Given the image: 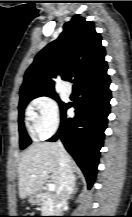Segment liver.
Wrapping results in <instances>:
<instances>
[{
  "instance_id": "obj_1",
  "label": "liver",
  "mask_w": 132,
  "mask_h": 217,
  "mask_svg": "<svg viewBox=\"0 0 132 217\" xmlns=\"http://www.w3.org/2000/svg\"><path fill=\"white\" fill-rule=\"evenodd\" d=\"M58 151V143L43 142L31 145L22 154L18 163V185L21 199L39 192L49 177L55 189L58 190L61 178ZM71 168L73 172L78 169L72 159Z\"/></svg>"
}]
</instances>
